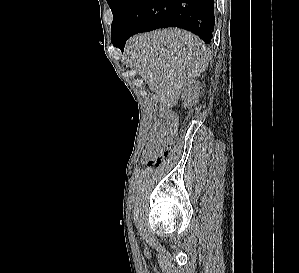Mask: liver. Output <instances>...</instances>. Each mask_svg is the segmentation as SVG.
<instances>
[{"label": "liver", "mask_w": 299, "mask_h": 273, "mask_svg": "<svg viewBox=\"0 0 299 273\" xmlns=\"http://www.w3.org/2000/svg\"><path fill=\"white\" fill-rule=\"evenodd\" d=\"M126 56L130 66L159 96L161 110L175 105L184 86L208 66L206 45L181 29L137 35L128 42Z\"/></svg>", "instance_id": "6515ba94"}]
</instances>
